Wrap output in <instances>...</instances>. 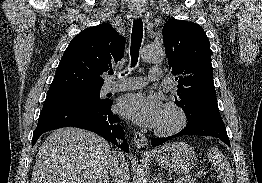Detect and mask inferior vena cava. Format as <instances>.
<instances>
[{
  "label": "inferior vena cava",
  "instance_id": "1",
  "mask_svg": "<svg viewBox=\"0 0 262 183\" xmlns=\"http://www.w3.org/2000/svg\"><path fill=\"white\" fill-rule=\"evenodd\" d=\"M108 167L113 183H130L128 163L120 152H108Z\"/></svg>",
  "mask_w": 262,
  "mask_h": 183
}]
</instances>
